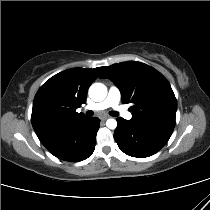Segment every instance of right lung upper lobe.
Returning <instances> with one entry per match:
<instances>
[{"mask_svg":"<svg viewBox=\"0 0 210 210\" xmlns=\"http://www.w3.org/2000/svg\"><path fill=\"white\" fill-rule=\"evenodd\" d=\"M103 67L95 69L72 68L47 80L33 101L31 122L41 142L67 125L85 118L76 109L85 103L87 90Z\"/></svg>","mask_w":210,"mask_h":210,"instance_id":"obj_1","label":"right lung upper lobe"}]
</instances>
